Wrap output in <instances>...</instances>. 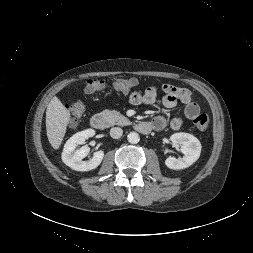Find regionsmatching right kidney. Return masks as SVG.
<instances>
[{"label":"right kidney","mask_w":253,"mask_h":253,"mask_svg":"<svg viewBox=\"0 0 253 253\" xmlns=\"http://www.w3.org/2000/svg\"><path fill=\"white\" fill-rule=\"evenodd\" d=\"M94 135L95 131L93 129H87L74 134L64 145L62 161L76 171H89L97 168L103 160V151L95 152L89 161H82L88 155L90 148L88 146H82L76 150L78 145L83 144L86 139Z\"/></svg>","instance_id":"ca27d5eb"}]
</instances>
